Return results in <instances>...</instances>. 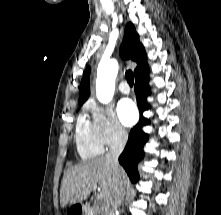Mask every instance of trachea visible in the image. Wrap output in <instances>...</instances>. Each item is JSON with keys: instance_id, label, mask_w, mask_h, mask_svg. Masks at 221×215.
Segmentation results:
<instances>
[{"instance_id": "obj_1", "label": "trachea", "mask_w": 221, "mask_h": 215, "mask_svg": "<svg viewBox=\"0 0 221 215\" xmlns=\"http://www.w3.org/2000/svg\"><path fill=\"white\" fill-rule=\"evenodd\" d=\"M126 80L130 86H133L134 76H133V73L130 69L126 72Z\"/></svg>"}]
</instances>
